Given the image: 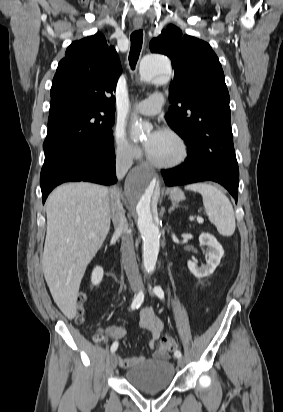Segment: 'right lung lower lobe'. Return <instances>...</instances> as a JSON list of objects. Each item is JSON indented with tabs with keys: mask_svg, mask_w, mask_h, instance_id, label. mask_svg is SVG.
<instances>
[{
	"mask_svg": "<svg viewBox=\"0 0 283 412\" xmlns=\"http://www.w3.org/2000/svg\"><path fill=\"white\" fill-rule=\"evenodd\" d=\"M114 163V148L98 150L69 147L45 154L40 176L43 203L48 194L64 182L115 183Z\"/></svg>",
	"mask_w": 283,
	"mask_h": 412,
	"instance_id": "1",
	"label": "right lung lower lobe"
}]
</instances>
